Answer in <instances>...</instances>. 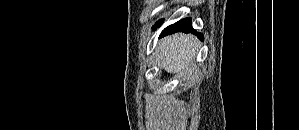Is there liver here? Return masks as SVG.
Masks as SVG:
<instances>
[{
	"label": "liver",
	"mask_w": 299,
	"mask_h": 130,
	"mask_svg": "<svg viewBox=\"0 0 299 130\" xmlns=\"http://www.w3.org/2000/svg\"><path fill=\"white\" fill-rule=\"evenodd\" d=\"M198 48V40L188 34H174L159 43L161 66L168 73L182 72L191 67Z\"/></svg>",
	"instance_id": "liver-1"
}]
</instances>
